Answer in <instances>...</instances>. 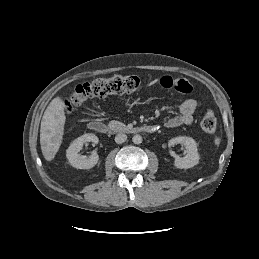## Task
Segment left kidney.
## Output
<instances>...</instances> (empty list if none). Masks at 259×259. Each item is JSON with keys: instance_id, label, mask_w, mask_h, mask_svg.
Segmentation results:
<instances>
[{"instance_id": "1", "label": "left kidney", "mask_w": 259, "mask_h": 259, "mask_svg": "<svg viewBox=\"0 0 259 259\" xmlns=\"http://www.w3.org/2000/svg\"><path fill=\"white\" fill-rule=\"evenodd\" d=\"M175 144H183L187 152L184 158H180L173 151H170V154L175 157L174 166L176 168L188 169L198 164L199 154L197 144L193 138L187 136L175 137L169 141L168 145L174 146Z\"/></svg>"}]
</instances>
